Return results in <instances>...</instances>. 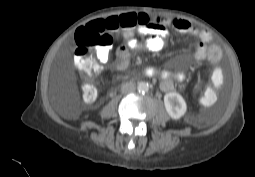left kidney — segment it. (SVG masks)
<instances>
[{"label": "left kidney", "instance_id": "left-kidney-1", "mask_svg": "<svg viewBox=\"0 0 255 177\" xmlns=\"http://www.w3.org/2000/svg\"><path fill=\"white\" fill-rule=\"evenodd\" d=\"M164 105L168 115L172 119L181 118L187 111L185 100L179 93L176 92L165 94Z\"/></svg>", "mask_w": 255, "mask_h": 177}]
</instances>
